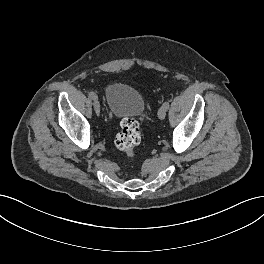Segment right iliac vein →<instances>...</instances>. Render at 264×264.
I'll list each match as a JSON object with an SVG mask.
<instances>
[{
  "label": "right iliac vein",
  "mask_w": 264,
  "mask_h": 264,
  "mask_svg": "<svg viewBox=\"0 0 264 264\" xmlns=\"http://www.w3.org/2000/svg\"><path fill=\"white\" fill-rule=\"evenodd\" d=\"M93 106H94V110L96 114L99 115L100 114V104H99L98 99H94Z\"/></svg>",
  "instance_id": "obj_1"
}]
</instances>
